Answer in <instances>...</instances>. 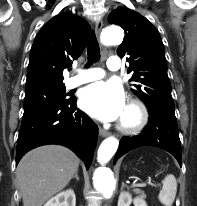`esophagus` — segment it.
<instances>
[{"instance_id": "1", "label": "esophagus", "mask_w": 197, "mask_h": 206, "mask_svg": "<svg viewBox=\"0 0 197 206\" xmlns=\"http://www.w3.org/2000/svg\"><path fill=\"white\" fill-rule=\"evenodd\" d=\"M102 27H103V22L102 20H97L96 23H95V32L96 34L99 36L100 33H101V30H102ZM99 134L100 136L102 137H107L110 135L109 131L103 129L102 127L99 128Z\"/></svg>"}]
</instances>
